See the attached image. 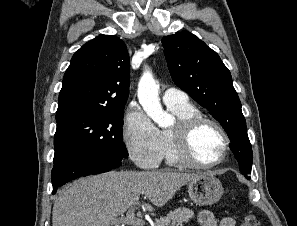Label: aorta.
<instances>
[{
	"label": "aorta",
	"instance_id": "aorta-1",
	"mask_svg": "<svg viewBox=\"0 0 297 226\" xmlns=\"http://www.w3.org/2000/svg\"><path fill=\"white\" fill-rule=\"evenodd\" d=\"M138 100L146 114L159 126L165 125L169 115L163 111L159 99V86L152 73L145 71L138 84Z\"/></svg>",
	"mask_w": 297,
	"mask_h": 226
}]
</instances>
